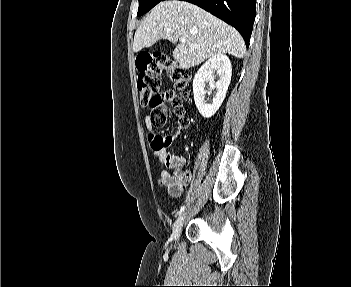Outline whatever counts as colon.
Listing matches in <instances>:
<instances>
[{"instance_id": "5ec220e1", "label": "colon", "mask_w": 351, "mask_h": 287, "mask_svg": "<svg viewBox=\"0 0 351 287\" xmlns=\"http://www.w3.org/2000/svg\"><path fill=\"white\" fill-rule=\"evenodd\" d=\"M139 75L137 78V92L141 104L152 109V126L160 128L166 124L167 110L165 103L169 102L179 115V124L187 127L189 119L186 116V107L183 99L187 96V87L192 79L189 69L180 66L163 53H144L136 62ZM166 74L174 86L181 92L180 96L168 91L159 93L160 77ZM161 136V135H160ZM177 180L180 188H185L189 181V174L177 171Z\"/></svg>"}]
</instances>
